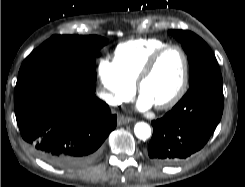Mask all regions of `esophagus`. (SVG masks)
<instances>
[{
	"instance_id": "obj_1",
	"label": "esophagus",
	"mask_w": 245,
	"mask_h": 187,
	"mask_svg": "<svg viewBox=\"0 0 245 187\" xmlns=\"http://www.w3.org/2000/svg\"><path fill=\"white\" fill-rule=\"evenodd\" d=\"M131 121H132V119L130 117L119 115L117 123H118V125H125V124H128Z\"/></svg>"
}]
</instances>
